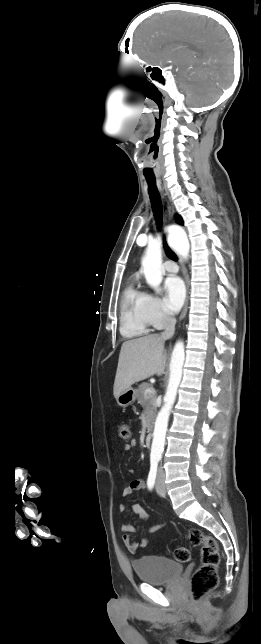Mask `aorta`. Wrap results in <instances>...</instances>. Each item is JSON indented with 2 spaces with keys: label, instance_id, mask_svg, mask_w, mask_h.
Here are the masks:
<instances>
[{
  "label": "aorta",
  "instance_id": "obj_1",
  "mask_svg": "<svg viewBox=\"0 0 261 644\" xmlns=\"http://www.w3.org/2000/svg\"><path fill=\"white\" fill-rule=\"evenodd\" d=\"M169 242L176 246L183 256L188 254V241L184 232L177 234L175 229H169ZM162 242L161 239L150 240L142 259V267L148 285L159 291L163 279L164 268L162 266ZM185 360L184 344L178 341L172 352L170 362V375L167 391L164 396V404L161 407L155 421L153 441L151 446V458L162 456L165 437L168 427V420L172 406L175 402L177 389L182 378V368Z\"/></svg>",
  "mask_w": 261,
  "mask_h": 644
}]
</instances>
